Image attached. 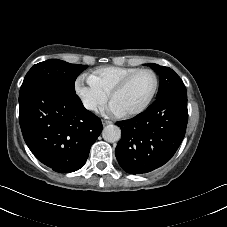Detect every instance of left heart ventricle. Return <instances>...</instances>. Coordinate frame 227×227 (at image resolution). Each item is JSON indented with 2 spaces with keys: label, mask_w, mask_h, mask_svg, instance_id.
<instances>
[{
  "label": "left heart ventricle",
  "mask_w": 227,
  "mask_h": 227,
  "mask_svg": "<svg viewBox=\"0 0 227 227\" xmlns=\"http://www.w3.org/2000/svg\"><path fill=\"white\" fill-rule=\"evenodd\" d=\"M154 77L150 73H143L135 77L128 87L115 96V101L124 112L140 107L149 97L154 87Z\"/></svg>",
  "instance_id": "b2bd125f"
}]
</instances>
